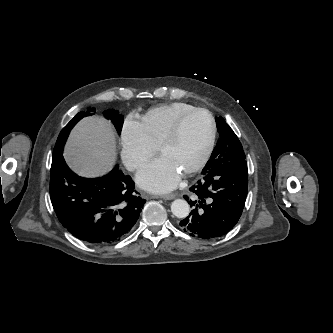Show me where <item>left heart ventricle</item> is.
Returning <instances> with one entry per match:
<instances>
[{
	"mask_svg": "<svg viewBox=\"0 0 333 333\" xmlns=\"http://www.w3.org/2000/svg\"><path fill=\"white\" fill-rule=\"evenodd\" d=\"M210 133V121L207 114L195 113L184 122L178 138L161 152L183 173L200 159Z\"/></svg>",
	"mask_w": 333,
	"mask_h": 333,
	"instance_id": "1",
	"label": "left heart ventricle"
}]
</instances>
